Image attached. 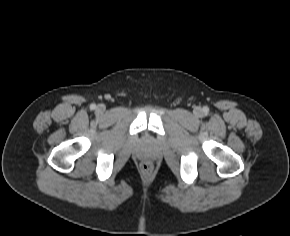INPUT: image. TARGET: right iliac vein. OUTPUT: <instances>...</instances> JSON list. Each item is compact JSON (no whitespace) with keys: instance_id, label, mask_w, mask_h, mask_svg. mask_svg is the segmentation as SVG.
<instances>
[{"instance_id":"obj_1","label":"right iliac vein","mask_w":290,"mask_h":236,"mask_svg":"<svg viewBox=\"0 0 290 236\" xmlns=\"http://www.w3.org/2000/svg\"><path fill=\"white\" fill-rule=\"evenodd\" d=\"M98 113H103L105 111V106L104 105H98L96 108Z\"/></svg>"}]
</instances>
